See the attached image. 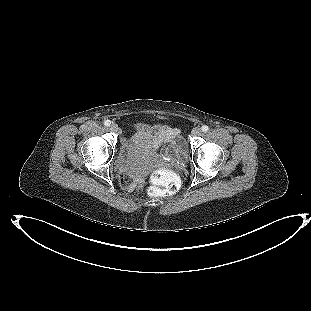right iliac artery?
<instances>
[{"label":"right iliac artery","instance_id":"82829eb1","mask_svg":"<svg viewBox=\"0 0 311 311\" xmlns=\"http://www.w3.org/2000/svg\"><path fill=\"white\" fill-rule=\"evenodd\" d=\"M110 124H111V122H110L109 120H106V121L104 122V125H105V126H110Z\"/></svg>","mask_w":311,"mask_h":311}]
</instances>
